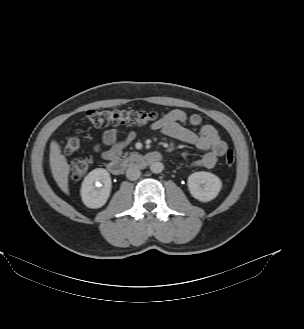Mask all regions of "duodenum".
Instances as JSON below:
<instances>
[{
  "mask_svg": "<svg viewBox=\"0 0 304 329\" xmlns=\"http://www.w3.org/2000/svg\"><path fill=\"white\" fill-rule=\"evenodd\" d=\"M161 158L162 155L157 151H150L147 153L133 152L128 154L124 159L111 160L108 168L112 174L121 175L127 167H143L155 163L161 160Z\"/></svg>",
  "mask_w": 304,
  "mask_h": 329,
  "instance_id": "duodenum-1",
  "label": "duodenum"
}]
</instances>
